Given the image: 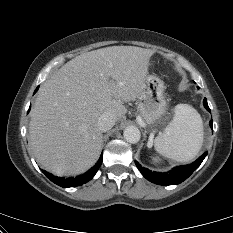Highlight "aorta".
Here are the masks:
<instances>
[{"mask_svg": "<svg viewBox=\"0 0 233 233\" xmlns=\"http://www.w3.org/2000/svg\"><path fill=\"white\" fill-rule=\"evenodd\" d=\"M124 138L127 142L135 144L139 142L141 138L140 130L135 126H128L123 132Z\"/></svg>", "mask_w": 233, "mask_h": 233, "instance_id": "1", "label": "aorta"}]
</instances>
